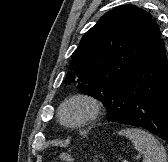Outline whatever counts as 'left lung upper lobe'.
<instances>
[{"instance_id": "1", "label": "left lung upper lobe", "mask_w": 168, "mask_h": 162, "mask_svg": "<svg viewBox=\"0 0 168 162\" xmlns=\"http://www.w3.org/2000/svg\"><path fill=\"white\" fill-rule=\"evenodd\" d=\"M159 39L158 25L148 12L134 5L116 7L82 37L65 83L78 84L80 91L106 106L116 86Z\"/></svg>"}]
</instances>
